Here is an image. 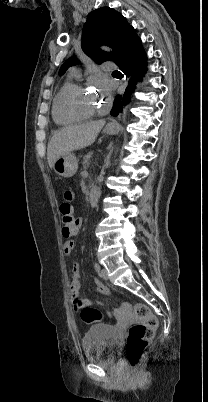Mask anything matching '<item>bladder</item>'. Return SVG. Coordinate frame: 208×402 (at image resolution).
<instances>
[{
    "label": "bladder",
    "mask_w": 208,
    "mask_h": 402,
    "mask_svg": "<svg viewBox=\"0 0 208 402\" xmlns=\"http://www.w3.org/2000/svg\"><path fill=\"white\" fill-rule=\"evenodd\" d=\"M121 337L113 326L95 324L88 328L83 342L85 359L101 366L115 362Z\"/></svg>",
    "instance_id": "obj_1"
}]
</instances>
